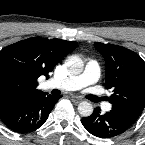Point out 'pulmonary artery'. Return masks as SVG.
<instances>
[{"instance_id": "obj_1", "label": "pulmonary artery", "mask_w": 145, "mask_h": 145, "mask_svg": "<svg viewBox=\"0 0 145 145\" xmlns=\"http://www.w3.org/2000/svg\"><path fill=\"white\" fill-rule=\"evenodd\" d=\"M100 77V67L97 61L89 60L86 64L83 73L77 76H70L61 79H50L45 83L48 88H57L62 90H77L82 87L95 84ZM103 109L109 111L111 109L110 103H104Z\"/></svg>"}]
</instances>
